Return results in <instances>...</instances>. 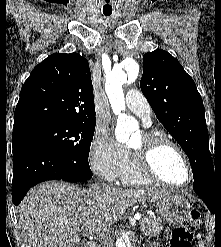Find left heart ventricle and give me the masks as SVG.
Segmentation results:
<instances>
[{"instance_id":"left-heart-ventricle-1","label":"left heart ventricle","mask_w":221,"mask_h":247,"mask_svg":"<svg viewBox=\"0 0 221 247\" xmlns=\"http://www.w3.org/2000/svg\"><path fill=\"white\" fill-rule=\"evenodd\" d=\"M141 142V132L136 133L128 142L129 146L136 147ZM155 167L159 175L168 182L184 184L188 181L189 175L185 163L178 152L165 147L155 155Z\"/></svg>"}]
</instances>
